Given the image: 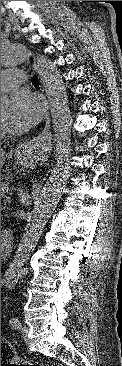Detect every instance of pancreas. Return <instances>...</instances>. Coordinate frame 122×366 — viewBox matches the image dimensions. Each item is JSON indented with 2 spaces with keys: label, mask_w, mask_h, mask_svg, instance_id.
Segmentation results:
<instances>
[{
  "label": "pancreas",
  "mask_w": 122,
  "mask_h": 366,
  "mask_svg": "<svg viewBox=\"0 0 122 366\" xmlns=\"http://www.w3.org/2000/svg\"><path fill=\"white\" fill-rule=\"evenodd\" d=\"M9 190L8 182H1V197L5 196L6 191Z\"/></svg>",
  "instance_id": "obj_1"
}]
</instances>
